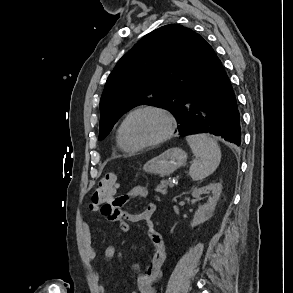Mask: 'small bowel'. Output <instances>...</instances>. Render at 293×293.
<instances>
[{"mask_svg": "<svg viewBox=\"0 0 293 293\" xmlns=\"http://www.w3.org/2000/svg\"><path fill=\"white\" fill-rule=\"evenodd\" d=\"M149 197V191L146 187L136 186L128 193L116 197V203L109 204L101 209L103 215L111 222H118L121 234H127L130 230L131 223L143 222L148 227V236L154 246V255L149 264L141 266L139 263H133V267L140 271L137 279L138 292L133 293H157L156 282L162 275L164 262L166 259L165 245L162 235L156 230L153 221V215L156 212L157 206L155 203H149L140 213H130L122 209L130 199ZM83 243L86 260L91 263L96 258V251L92 246V233L88 224L82 226ZM116 254V247L110 244L104 249V257L111 259ZM99 291L104 293L105 286L99 283V275L93 276Z\"/></svg>", "mask_w": 293, "mask_h": 293, "instance_id": "c3829d8e", "label": "small bowel"}]
</instances>
